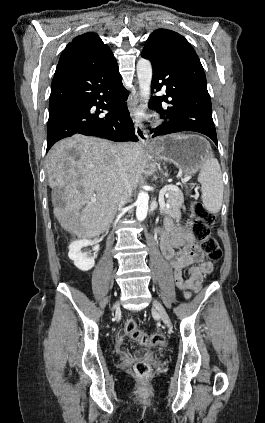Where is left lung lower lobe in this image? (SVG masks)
<instances>
[{
  "mask_svg": "<svg viewBox=\"0 0 265 423\" xmlns=\"http://www.w3.org/2000/svg\"><path fill=\"white\" fill-rule=\"evenodd\" d=\"M152 63L151 90L166 87V96L154 97L150 102L162 118L161 126L152 129L155 136L181 131H194L207 135L217 145L212 119V106L207 91L206 77L200 60L190 43L180 36L173 37L164 49L154 48L152 53L142 52ZM172 100L168 101L167 98ZM172 105L163 109L161 102Z\"/></svg>",
  "mask_w": 265,
  "mask_h": 423,
  "instance_id": "left-lung-lower-lobe-1",
  "label": "left lung lower lobe"
}]
</instances>
